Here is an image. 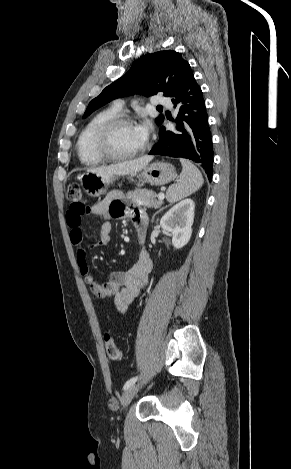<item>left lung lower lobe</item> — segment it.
Wrapping results in <instances>:
<instances>
[{"mask_svg":"<svg viewBox=\"0 0 291 469\" xmlns=\"http://www.w3.org/2000/svg\"><path fill=\"white\" fill-rule=\"evenodd\" d=\"M178 117L176 131L159 129V141L150 155L181 157L198 163L208 176H213V143L205 101L191 68L185 73L177 90L171 95Z\"/></svg>","mask_w":291,"mask_h":469,"instance_id":"1","label":"left lung lower lobe"}]
</instances>
